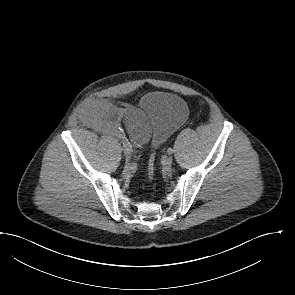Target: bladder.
Returning a JSON list of instances; mask_svg holds the SVG:
<instances>
[{
    "instance_id": "1",
    "label": "bladder",
    "mask_w": 295,
    "mask_h": 295,
    "mask_svg": "<svg viewBox=\"0 0 295 295\" xmlns=\"http://www.w3.org/2000/svg\"><path fill=\"white\" fill-rule=\"evenodd\" d=\"M152 126L151 142L158 146L171 131L181 126L188 117V107L178 95L170 92H151L140 103Z\"/></svg>"
}]
</instances>
